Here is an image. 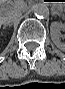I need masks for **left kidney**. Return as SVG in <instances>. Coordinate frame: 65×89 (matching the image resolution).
I'll return each mask as SVG.
<instances>
[{"instance_id":"left-kidney-1","label":"left kidney","mask_w":65,"mask_h":89,"mask_svg":"<svg viewBox=\"0 0 65 89\" xmlns=\"http://www.w3.org/2000/svg\"><path fill=\"white\" fill-rule=\"evenodd\" d=\"M53 26H57L59 30H62V31H65V25L62 24V23H53L52 24V27ZM52 27H51V31H52ZM52 34V40L54 42V44L57 46V48H59L60 50L62 51H65V42L64 41H61L65 39V35L64 34H61V33H56V32H51Z\"/></svg>"}]
</instances>
